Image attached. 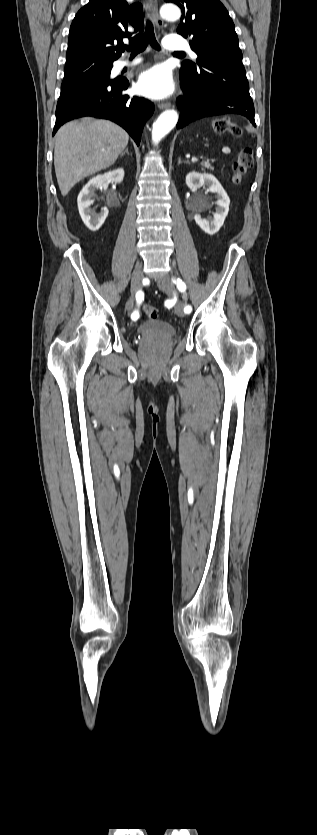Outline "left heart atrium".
<instances>
[{
  "label": "left heart atrium",
  "instance_id": "1",
  "mask_svg": "<svg viewBox=\"0 0 317 835\" xmlns=\"http://www.w3.org/2000/svg\"><path fill=\"white\" fill-rule=\"evenodd\" d=\"M136 88L146 97L163 99L172 94L174 82L170 71L165 66L156 65L141 73Z\"/></svg>",
  "mask_w": 317,
  "mask_h": 835
}]
</instances>
